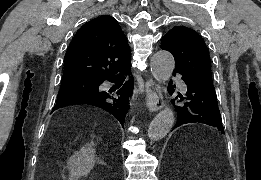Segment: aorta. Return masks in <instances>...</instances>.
Segmentation results:
<instances>
[{
    "mask_svg": "<svg viewBox=\"0 0 261 180\" xmlns=\"http://www.w3.org/2000/svg\"><path fill=\"white\" fill-rule=\"evenodd\" d=\"M175 67V60L168 51H158L151 60V71L154 78L165 84L171 77ZM174 123L173 111L166 107L160 111L150 123L148 137L153 141H158L165 137L171 130Z\"/></svg>",
    "mask_w": 261,
    "mask_h": 180,
    "instance_id": "762f6f07",
    "label": "aorta"
}]
</instances>
